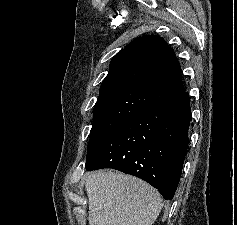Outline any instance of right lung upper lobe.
Segmentation results:
<instances>
[{
    "mask_svg": "<svg viewBox=\"0 0 237 225\" xmlns=\"http://www.w3.org/2000/svg\"><path fill=\"white\" fill-rule=\"evenodd\" d=\"M184 92L174 51L158 36L131 41L110 62L93 120L131 118Z\"/></svg>",
    "mask_w": 237,
    "mask_h": 225,
    "instance_id": "1",
    "label": "right lung upper lobe"
}]
</instances>
